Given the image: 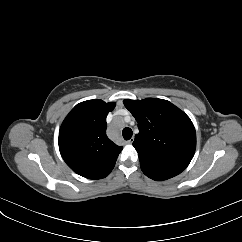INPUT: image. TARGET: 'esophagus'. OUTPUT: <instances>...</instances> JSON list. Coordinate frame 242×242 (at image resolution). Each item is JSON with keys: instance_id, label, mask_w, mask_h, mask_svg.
I'll return each mask as SVG.
<instances>
[{"instance_id": "obj_1", "label": "esophagus", "mask_w": 242, "mask_h": 242, "mask_svg": "<svg viewBox=\"0 0 242 242\" xmlns=\"http://www.w3.org/2000/svg\"><path fill=\"white\" fill-rule=\"evenodd\" d=\"M133 141H134V138H131V139L127 140L126 143H127V144H132Z\"/></svg>"}]
</instances>
